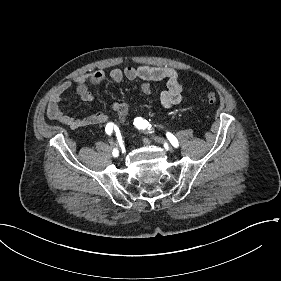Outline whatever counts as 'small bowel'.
I'll use <instances>...</instances> for the list:
<instances>
[{
  "label": "small bowel",
  "instance_id": "obj_1",
  "mask_svg": "<svg viewBox=\"0 0 281 281\" xmlns=\"http://www.w3.org/2000/svg\"><path fill=\"white\" fill-rule=\"evenodd\" d=\"M107 74L104 70H96L86 75L76 77L73 81L63 82L53 95L48 105V117L71 129H79L83 127L103 125L109 121V115L104 112L94 113L82 118L68 115L65 112L62 99L64 93L70 89L72 84L75 85V90L83 102H92L94 94L89 90V85L101 83ZM108 76L115 82L127 80H142L141 90L144 94H151V83L155 81L165 80L167 90L160 96V102L163 107L171 108L180 103L183 96V89L179 82L178 73L170 67H151V66H126L123 69L114 68ZM113 111L120 117L124 118L128 113V105L126 103H114Z\"/></svg>",
  "mask_w": 281,
  "mask_h": 281
}]
</instances>
